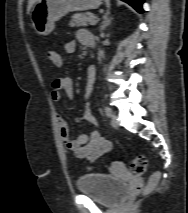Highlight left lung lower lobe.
<instances>
[{
  "instance_id": "left-lung-lower-lobe-1",
  "label": "left lung lower lobe",
  "mask_w": 188,
  "mask_h": 213,
  "mask_svg": "<svg viewBox=\"0 0 188 213\" xmlns=\"http://www.w3.org/2000/svg\"><path fill=\"white\" fill-rule=\"evenodd\" d=\"M135 8L139 13H143L142 3L144 0H123Z\"/></svg>"
}]
</instances>
